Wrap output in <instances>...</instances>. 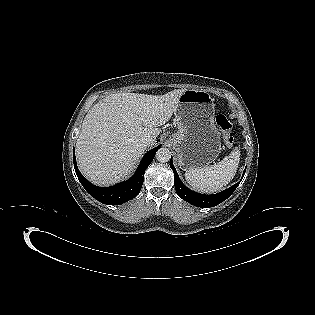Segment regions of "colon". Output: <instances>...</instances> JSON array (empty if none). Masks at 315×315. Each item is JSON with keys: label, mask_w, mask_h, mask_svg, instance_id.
<instances>
[{"label": "colon", "mask_w": 315, "mask_h": 315, "mask_svg": "<svg viewBox=\"0 0 315 315\" xmlns=\"http://www.w3.org/2000/svg\"><path fill=\"white\" fill-rule=\"evenodd\" d=\"M215 122L219 129L224 133V144L226 147L231 148L234 146L235 141L231 135L232 124L224 114H218Z\"/></svg>", "instance_id": "5ec220e1"}]
</instances>
